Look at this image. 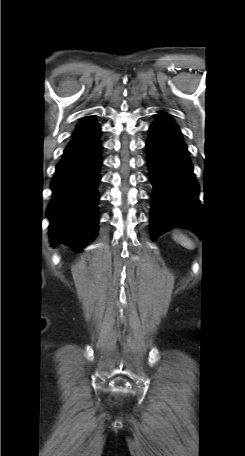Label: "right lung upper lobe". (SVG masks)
I'll return each mask as SVG.
<instances>
[{
	"mask_svg": "<svg viewBox=\"0 0 245 456\" xmlns=\"http://www.w3.org/2000/svg\"><path fill=\"white\" fill-rule=\"evenodd\" d=\"M99 129L98 124L90 116L84 117L77 125L74 136L68 146L79 145L93 139L99 133Z\"/></svg>",
	"mask_w": 245,
	"mask_h": 456,
	"instance_id": "obj_1",
	"label": "right lung upper lobe"
}]
</instances>
